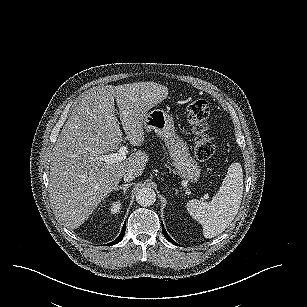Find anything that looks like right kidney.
<instances>
[{
	"label": "right kidney",
	"mask_w": 307,
	"mask_h": 307,
	"mask_svg": "<svg viewBox=\"0 0 307 307\" xmlns=\"http://www.w3.org/2000/svg\"><path fill=\"white\" fill-rule=\"evenodd\" d=\"M106 208L108 209L110 215H116L120 212L122 208V201L120 200L110 201L106 206Z\"/></svg>",
	"instance_id": "ca27d5eb"
}]
</instances>
